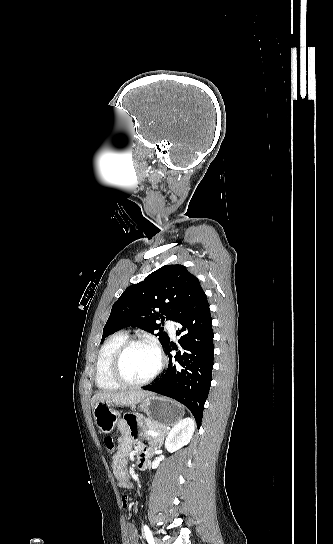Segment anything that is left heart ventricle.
<instances>
[{"label":"left heart ventricle","instance_id":"1","mask_svg":"<svg viewBox=\"0 0 333 544\" xmlns=\"http://www.w3.org/2000/svg\"><path fill=\"white\" fill-rule=\"evenodd\" d=\"M157 364L158 358L151 348L137 345L124 356L122 371L128 380L137 382L148 378Z\"/></svg>","mask_w":333,"mask_h":544}]
</instances>
